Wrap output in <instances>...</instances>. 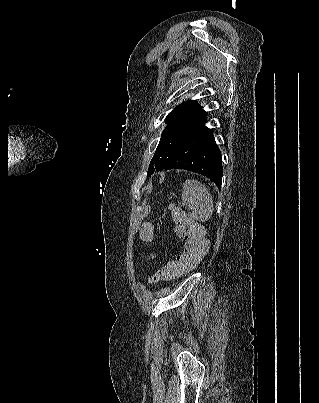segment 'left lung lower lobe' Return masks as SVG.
Returning <instances> with one entry per match:
<instances>
[{"mask_svg": "<svg viewBox=\"0 0 319 403\" xmlns=\"http://www.w3.org/2000/svg\"><path fill=\"white\" fill-rule=\"evenodd\" d=\"M206 117L205 112L193 125L164 170L185 169L196 172L208 177L220 188L222 157L212 130L205 126Z\"/></svg>", "mask_w": 319, "mask_h": 403, "instance_id": "left-lung-lower-lobe-1", "label": "left lung lower lobe"}]
</instances>
